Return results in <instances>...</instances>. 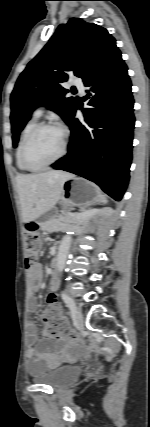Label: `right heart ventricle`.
<instances>
[{
    "label": "right heart ventricle",
    "mask_w": 150,
    "mask_h": 427,
    "mask_svg": "<svg viewBox=\"0 0 150 427\" xmlns=\"http://www.w3.org/2000/svg\"><path fill=\"white\" fill-rule=\"evenodd\" d=\"M38 121V116H36L35 114L27 121V123L25 124V126L23 127L20 136H19V140H18V144H17V148H16V162H17V166L20 170H26L21 162V147L23 144V141L26 137V135L29 133V131L37 124Z\"/></svg>",
    "instance_id": "obj_1"
}]
</instances>
